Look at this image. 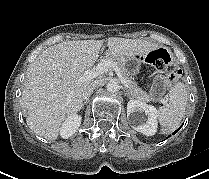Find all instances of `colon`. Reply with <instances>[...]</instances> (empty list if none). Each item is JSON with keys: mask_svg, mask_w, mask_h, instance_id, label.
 I'll return each instance as SVG.
<instances>
[{"mask_svg": "<svg viewBox=\"0 0 209 179\" xmlns=\"http://www.w3.org/2000/svg\"><path fill=\"white\" fill-rule=\"evenodd\" d=\"M142 59L146 63L160 70L167 68L171 61L168 52L161 48L150 51L147 55L142 57ZM180 75H181V70L177 67H172L168 73V79H167L168 83L169 84L175 83L179 79Z\"/></svg>", "mask_w": 209, "mask_h": 179, "instance_id": "1", "label": "colon"}]
</instances>
